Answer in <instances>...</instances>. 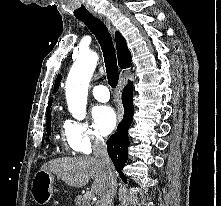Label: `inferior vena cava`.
<instances>
[{"label":"inferior vena cava","mask_w":221,"mask_h":206,"mask_svg":"<svg viewBox=\"0 0 221 206\" xmlns=\"http://www.w3.org/2000/svg\"><path fill=\"white\" fill-rule=\"evenodd\" d=\"M93 153L105 175V185L96 206H112V201L117 190L115 169L107 153V146L102 138L93 140Z\"/></svg>","instance_id":"obj_1"}]
</instances>
